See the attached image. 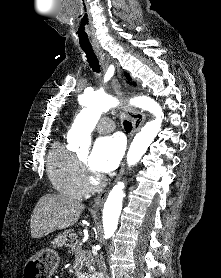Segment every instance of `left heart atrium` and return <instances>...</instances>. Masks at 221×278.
<instances>
[{
    "label": "left heart atrium",
    "instance_id": "39dd6f15",
    "mask_svg": "<svg viewBox=\"0 0 221 278\" xmlns=\"http://www.w3.org/2000/svg\"><path fill=\"white\" fill-rule=\"evenodd\" d=\"M123 143L117 136L99 138L89 157L90 167L98 174H108L119 164Z\"/></svg>",
    "mask_w": 221,
    "mask_h": 278
}]
</instances>
